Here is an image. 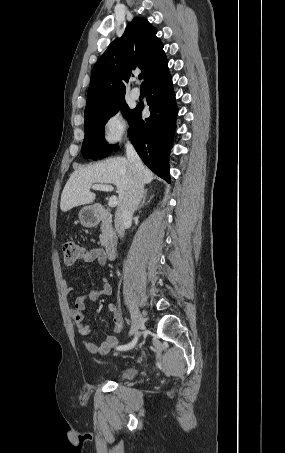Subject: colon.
I'll return each mask as SVG.
<instances>
[{"label":"colon","instance_id":"colon-1","mask_svg":"<svg viewBox=\"0 0 285 453\" xmlns=\"http://www.w3.org/2000/svg\"><path fill=\"white\" fill-rule=\"evenodd\" d=\"M64 260L68 264H72L81 258L83 249L73 240H67L62 246Z\"/></svg>","mask_w":285,"mask_h":453}]
</instances>
